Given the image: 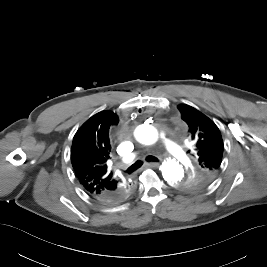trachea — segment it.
I'll return each mask as SVG.
<instances>
[{
	"mask_svg": "<svg viewBox=\"0 0 267 267\" xmlns=\"http://www.w3.org/2000/svg\"><path fill=\"white\" fill-rule=\"evenodd\" d=\"M147 162H158L159 160L154 156H147L145 159ZM143 162L141 160H137L134 164H132L125 172L128 174L133 173L138 168L142 166Z\"/></svg>",
	"mask_w": 267,
	"mask_h": 267,
	"instance_id": "1",
	"label": "trachea"
}]
</instances>
